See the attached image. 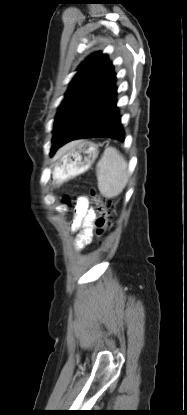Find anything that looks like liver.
Masks as SVG:
<instances>
[{
	"label": "liver",
	"mask_w": 187,
	"mask_h": 415,
	"mask_svg": "<svg viewBox=\"0 0 187 415\" xmlns=\"http://www.w3.org/2000/svg\"><path fill=\"white\" fill-rule=\"evenodd\" d=\"M70 146H71V143H69V144H67V145H65L58 153H57V155L59 156V155H61L63 152H65L67 149H69L70 148Z\"/></svg>",
	"instance_id": "liver-1"
}]
</instances>
